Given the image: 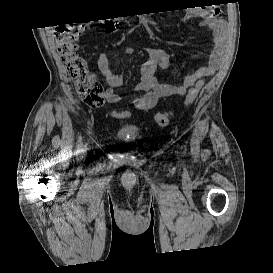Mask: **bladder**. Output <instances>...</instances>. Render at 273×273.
I'll return each mask as SVG.
<instances>
[{
  "mask_svg": "<svg viewBox=\"0 0 273 273\" xmlns=\"http://www.w3.org/2000/svg\"><path fill=\"white\" fill-rule=\"evenodd\" d=\"M116 137L124 142L135 143L140 138V131L133 125H121L116 132Z\"/></svg>",
  "mask_w": 273,
  "mask_h": 273,
  "instance_id": "31cf9c89",
  "label": "bladder"
}]
</instances>
